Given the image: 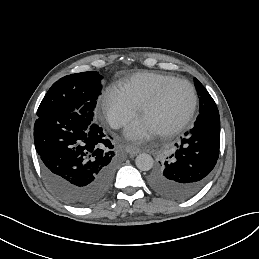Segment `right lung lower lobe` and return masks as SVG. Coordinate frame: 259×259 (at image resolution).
Wrapping results in <instances>:
<instances>
[{
    "label": "right lung lower lobe",
    "mask_w": 259,
    "mask_h": 259,
    "mask_svg": "<svg viewBox=\"0 0 259 259\" xmlns=\"http://www.w3.org/2000/svg\"><path fill=\"white\" fill-rule=\"evenodd\" d=\"M34 142L46 182L60 199L85 207L107 194L115 153L99 124L76 112L45 114L35 122Z\"/></svg>",
    "instance_id": "1"
}]
</instances>
